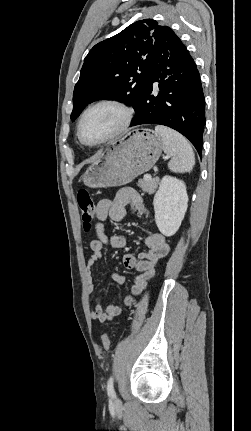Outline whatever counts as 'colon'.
<instances>
[{
    "mask_svg": "<svg viewBox=\"0 0 251 431\" xmlns=\"http://www.w3.org/2000/svg\"><path fill=\"white\" fill-rule=\"evenodd\" d=\"M77 203L80 210L84 229L88 231L96 216V207L94 201L86 189H80L77 193ZM101 343L104 350H109L111 345L110 336L104 333L101 337Z\"/></svg>",
    "mask_w": 251,
    "mask_h": 431,
    "instance_id": "5ec220e1",
    "label": "colon"
}]
</instances>
